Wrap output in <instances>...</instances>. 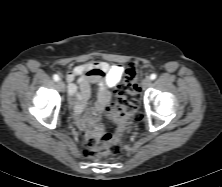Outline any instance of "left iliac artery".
<instances>
[{
	"label": "left iliac artery",
	"instance_id": "44dca946",
	"mask_svg": "<svg viewBox=\"0 0 222 187\" xmlns=\"http://www.w3.org/2000/svg\"><path fill=\"white\" fill-rule=\"evenodd\" d=\"M156 77H157V75H156V74H154V73L150 75V79H151V80L156 79Z\"/></svg>",
	"mask_w": 222,
	"mask_h": 187
}]
</instances>
